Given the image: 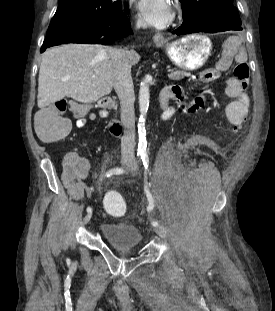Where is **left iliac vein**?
Wrapping results in <instances>:
<instances>
[{
	"label": "left iliac vein",
	"mask_w": 275,
	"mask_h": 311,
	"mask_svg": "<svg viewBox=\"0 0 275 311\" xmlns=\"http://www.w3.org/2000/svg\"><path fill=\"white\" fill-rule=\"evenodd\" d=\"M137 169H138V165H137V163L135 161H133L132 164H131L130 171L132 173H134L135 171H137ZM154 231L156 232L157 235H159L162 238H166L167 237V231L162 226L155 227Z\"/></svg>",
	"instance_id": "left-iliac-vein-1"
}]
</instances>
